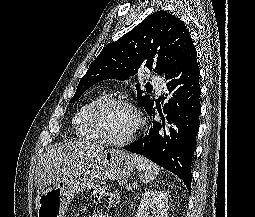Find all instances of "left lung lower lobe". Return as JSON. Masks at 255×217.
<instances>
[{
    "mask_svg": "<svg viewBox=\"0 0 255 217\" xmlns=\"http://www.w3.org/2000/svg\"><path fill=\"white\" fill-rule=\"evenodd\" d=\"M194 46L180 57L177 65L163 76L168 93L163 95L162 122L153 120L147 135L123 149L141 154L159 166L177 175L191 191V163L199 130L200 70ZM154 117V109L148 112Z\"/></svg>",
    "mask_w": 255,
    "mask_h": 217,
    "instance_id": "1",
    "label": "left lung lower lobe"
}]
</instances>
